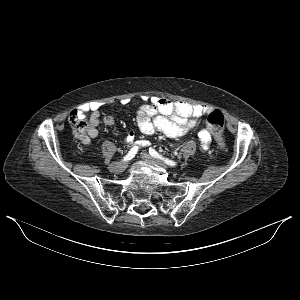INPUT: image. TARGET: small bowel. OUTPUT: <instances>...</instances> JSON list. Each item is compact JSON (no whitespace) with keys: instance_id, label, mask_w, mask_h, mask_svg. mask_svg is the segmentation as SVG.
I'll return each mask as SVG.
<instances>
[{"instance_id":"1","label":"small bowel","mask_w":300,"mask_h":300,"mask_svg":"<svg viewBox=\"0 0 300 300\" xmlns=\"http://www.w3.org/2000/svg\"><path fill=\"white\" fill-rule=\"evenodd\" d=\"M146 104L140 105L136 110V121L140 132L144 135L162 133L168 137H181L189 131L196 128L201 116L208 110V107L202 104H190L186 101H172L167 98L149 96L145 99ZM123 105L129 103L128 99L121 101ZM99 102H90L82 105L78 113L85 120V134L80 136L83 145H90L91 140L98 136V126L100 124ZM103 123L106 126H112L114 119L111 116H105ZM198 139L201 147L208 150L212 141L208 129L199 130ZM127 143L134 141V132L130 131L126 137ZM141 146H147V141H140Z\"/></svg>"}]
</instances>
